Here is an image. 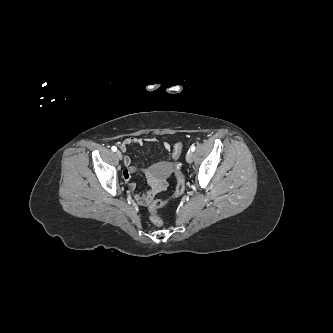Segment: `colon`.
<instances>
[{"instance_id": "1", "label": "colon", "mask_w": 333, "mask_h": 333, "mask_svg": "<svg viewBox=\"0 0 333 333\" xmlns=\"http://www.w3.org/2000/svg\"><path fill=\"white\" fill-rule=\"evenodd\" d=\"M183 150V144L182 142H177L173 146L172 150V158L177 161L182 153ZM175 176H176V186L173 193V199L179 198L185 190V178L181 171V169L177 166L175 170ZM168 204L167 200H161L156 199L149 205V213H150V220L151 222L157 226L160 227L163 224V220L158 214V209L166 206Z\"/></svg>"}]
</instances>
